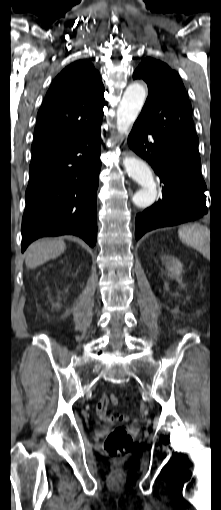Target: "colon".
<instances>
[{
  "label": "colon",
  "instance_id": "obj_1",
  "mask_svg": "<svg viewBox=\"0 0 221 510\" xmlns=\"http://www.w3.org/2000/svg\"><path fill=\"white\" fill-rule=\"evenodd\" d=\"M112 405L118 404V398L112 396L110 398ZM113 421L126 422L128 417L125 414L117 413L111 416ZM133 440L129 432L123 427H116L111 430L104 442V450L106 454L113 460L118 461L124 458L131 450Z\"/></svg>",
  "mask_w": 221,
  "mask_h": 510
}]
</instances>
